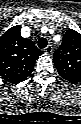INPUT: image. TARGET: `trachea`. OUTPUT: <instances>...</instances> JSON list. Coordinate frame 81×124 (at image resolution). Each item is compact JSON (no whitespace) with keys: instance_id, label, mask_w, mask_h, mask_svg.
<instances>
[{"instance_id":"1","label":"trachea","mask_w":81,"mask_h":124,"mask_svg":"<svg viewBox=\"0 0 81 124\" xmlns=\"http://www.w3.org/2000/svg\"><path fill=\"white\" fill-rule=\"evenodd\" d=\"M37 43H38V47L40 49H44L47 46L48 42H47L46 38H40Z\"/></svg>"}]
</instances>
